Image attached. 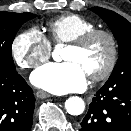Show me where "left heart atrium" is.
<instances>
[{
    "label": "left heart atrium",
    "mask_w": 131,
    "mask_h": 131,
    "mask_svg": "<svg viewBox=\"0 0 131 131\" xmlns=\"http://www.w3.org/2000/svg\"><path fill=\"white\" fill-rule=\"evenodd\" d=\"M32 83L55 94L83 90L87 75L74 61L48 63L36 69L31 75Z\"/></svg>",
    "instance_id": "1"
}]
</instances>
